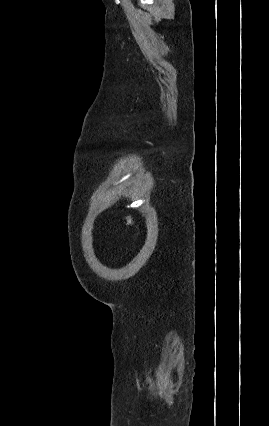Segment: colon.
I'll list each match as a JSON object with an SVG mask.
<instances>
[{
    "label": "colon",
    "instance_id": "colon-1",
    "mask_svg": "<svg viewBox=\"0 0 269 426\" xmlns=\"http://www.w3.org/2000/svg\"><path fill=\"white\" fill-rule=\"evenodd\" d=\"M124 221H125L126 225L129 226V227H134L135 226L134 219H133V217L131 215H126L124 217Z\"/></svg>",
    "mask_w": 269,
    "mask_h": 426
}]
</instances>
